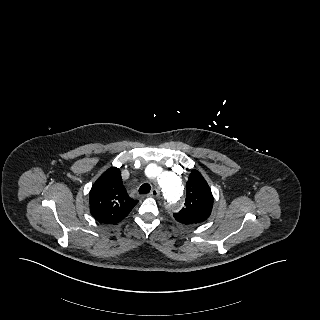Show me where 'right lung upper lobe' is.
Listing matches in <instances>:
<instances>
[{
	"label": "right lung upper lobe",
	"mask_w": 320,
	"mask_h": 320,
	"mask_svg": "<svg viewBox=\"0 0 320 320\" xmlns=\"http://www.w3.org/2000/svg\"><path fill=\"white\" fill-rule=\"evenodd\" d=\"M90 212L99 222L116 224L138 203L130 198L122 183L120 169L111 167L94 183L89 193Z\"/></svg>",
	"instance_id": "1"
}]
</instances>
